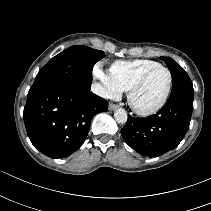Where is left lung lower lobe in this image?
Returning <instances> with one entry per match:
<instances>
[{
  "label": "left lung lower lobe",
  "mask_w": 211,
  "mask_h": 211,
  "mask_svg": "<svg viewBox=\"0 0 211 211\" xmlns=\"http://www.w3.org/2000/svg\"><path fill=\"white\" fill-rule=\"evenodd\" d=\"M193 111V97L170 96L165 106L146 118L128 115L121 129L125 142L143 156H159L176 148L184 138Z\"/></svg>",
  "instance_id": "0a47b994"
}]
</instances>
